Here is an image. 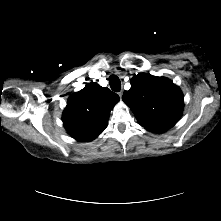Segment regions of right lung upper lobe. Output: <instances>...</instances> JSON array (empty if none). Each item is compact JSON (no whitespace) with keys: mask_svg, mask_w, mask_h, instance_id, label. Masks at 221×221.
Here are the masks:
<instances>
[{"mask_svg":"<svg viewBox=\"0 0 221 221\" xmlns=\"http://www.w3.org/2000/svg\"><path fill=\"white\" fill-rule=\"evenodd\" d=\"M118 101L119 96L108 88L87 84L68 99L62 116L67 132L80 142L95 139L107 127L110 111Z\"/></svg>","mask_w":221,"mask_h":221,"instance_id":"1","label":"right lung upper lobe"}]
</instances>
